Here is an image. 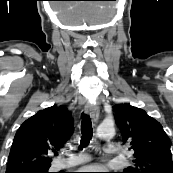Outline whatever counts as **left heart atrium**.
Here are the masks:
<instances>
[{
  "mask_svg": "<svg viewBox=\"0 0 173 173\" xmlns=\"http://www.w3.org/2000/svg\"><path fill=\"white\" fill-rule=\"evenodd\" d=\"M84 173H103L105 168L100 165H91L82 169Z\"/></svg>",
  "mask_w": 173,
  "mask_h": 173,
  "instance_id": "obj_1",
  "label": "left heart atrium"
}]
</instances>
